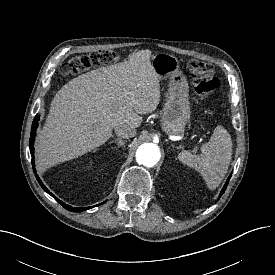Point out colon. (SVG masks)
I'll return each mask as SVG.
<instances>
[{
	"label": "colon",
	"instance_id": "obj_1",
	"mask_svg": "<svg viewBox=\"0 0 275 275\" xmlns=\"http://www.w3.org/2000/svg\"><path fill=\"white\" fill-rule=\"evenodd\" d=\"M118 59L117 54L111 50H103L83 54L74 57L63 63L60 71L64 75H76L92 68L110 65ZM187 68L193 81L194 89L203 98L211 95L220 85L215 76L212 64L192 59L188 62Z\"/></svg>",
	"mask_w": 275,
	"mask_h": 275
}]
</instances>
